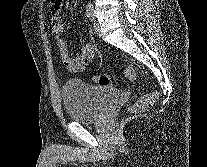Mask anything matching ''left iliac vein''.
Wrapping results in <instances>:
<instances>
[{"label":"left iliac vein","mask_w":207,"mask_h":167,"mask_svg":"<svg viewBox=\"0 0 207 167\" xmlns=\"http://www.w3.org/2000/svg\"><path fill=\"white\" fill-rule=\"evenodd\" d=\"M93 30H94V33L97 35V36H101V31H100V25L98 23L97 20H94L93 21Z\"/></svg>","instance_id":"obj_1"}]
</instances>
